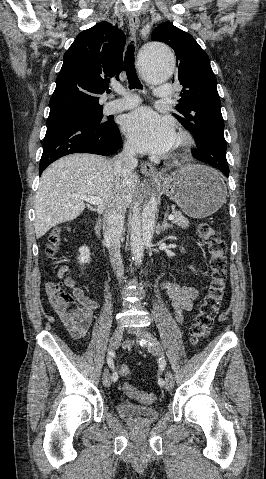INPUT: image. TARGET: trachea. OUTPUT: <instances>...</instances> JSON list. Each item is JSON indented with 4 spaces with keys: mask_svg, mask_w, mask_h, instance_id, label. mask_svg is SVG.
<instances>
[{
    "mask_svg": "<svg viewBox=\"0 0 266 479\" xmlns=\"http://www.w3.org/2000/svg\"><path fill=\"white\" fill-rule=\"evenodd\" d=\"M134 44H129L125 53V70L127 79L129 82L130 89H142L143 86L140 83V80L137 76L135 65H134Z\"/></svg>",
    "mask_w": 266,
    "mask_h": 479,
    "instance_id": "1",
    "label": "trachea"
}]
</instances>
